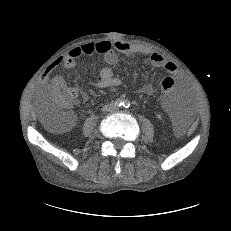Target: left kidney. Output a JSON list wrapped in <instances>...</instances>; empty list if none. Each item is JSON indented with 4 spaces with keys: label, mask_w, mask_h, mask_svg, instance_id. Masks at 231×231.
I'll list each match as a JSON object with an SVG mask.
<instances>
[{
    "label": "left kidney",
    "mask_w": 231,
    "mask_h": 231,
    "mask_svg": "<svg viewBox=\"0 0 231 231\" xmlns=\"http://www.w3.org/2000/svg\"><path fill=\"white\" fill-rule=\"evenodd\" d=\"M156 116H157L158 119H162V115L161 114L158 113Z\"/></svg>",
    "instance_id": "left-kidney-1"
}]
</instances>
